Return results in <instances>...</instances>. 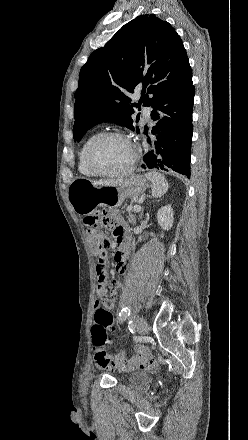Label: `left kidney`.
Returning <instances> with one entry per match:
<instances>
[{"mask_svg": "<svg viewBox=\"0 0 248 440\" xmlns=\"http://www.w3.org/2000/svg\"><path fill=\"white\" fill-rule=\"evenodd\" d=\"M174 212L171 205L162 207L157 212V221L164 230H169L173 225Z\"/></svg>", "mask_w": 248, "mask_h": 440, "instance_id": "5707ae66", "label": "left kidney"}]
</instances>
